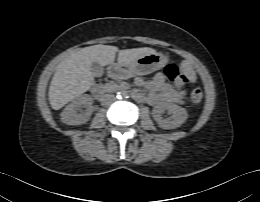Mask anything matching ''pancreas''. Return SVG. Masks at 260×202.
Wrapping results in <instances>:
<instances>
[{
    "label": "pancreas",
    "mask_w": 260,
    "mask_h": 202,
    "mask_svg": "<svg viewBox=\"0 0 260 202\" xmlns=\"http://www.w3.org/2000/svg\"><path fill=\"white\" fill-rule=\"evenodd\" d=\"M104 89H105V90H109V84H106V85L104 86Z\"/></svg>",
    "instance_id": "obj_1"
}]
</instances>
